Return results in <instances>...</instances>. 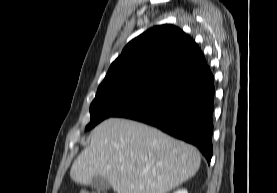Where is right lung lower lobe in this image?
I'll list each match as a JSON object with an SVG mask.
<instances>
[{"instance_id":"98d812e1","label":"right lung lower lobe","mask_w":277,"mask_h":193,"mask_svg":"<svg viewBox=\"0 0 277 193\" xmlns=\"http://www.w3.org/2000/svg\"><path fill=\"white\" fill-rule=\"evenodd\" d=\"M214 94V77L205 65L161 86L114 117L144 122L193 144L210 163Z\"/></svg>"}]
</instances>
